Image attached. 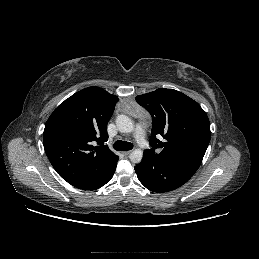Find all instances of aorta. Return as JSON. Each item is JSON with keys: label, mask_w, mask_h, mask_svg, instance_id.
<instances>
[{"label": "aorta", "mask_w": 259, "mask_h": 259, "mask_svg": "<svg viewBox=\"0 0 259 259\" xmlns=\"http://www.w3.org/2000/svg\"><path fill=\"white\" fill-rule=\"evenodd\" d=\"M116 126L121 133H131L134 130L132 120L126 115H118L116 118ZM143 151L141 149H134L130 154V160L133 163L141 162Z\"/></svg>", "instance_id": "aorta-1"}]
</instances>
